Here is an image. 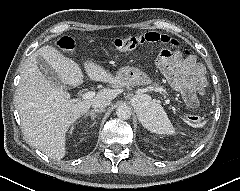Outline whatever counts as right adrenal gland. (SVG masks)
<instances>
[{
    "label": "right adrenal gland",
    "mask_w": 240,
    "mask_h": 191,
    "mask_svg": "<svg viewBox=\"0 0 240 191\" xmlns=\"http://www.w3.org/2000/svg\"><path fill=\"white\" fill-rule=\"evenodd\" d=\"M101 112H103V110H91V111H89V112H87V113L85 114V117L90 116L91 119H92L93 121H95V119H96V117H97V113H101ZM94 123H96V122H94Z\"/></svg>",
    "instance_id": "2a0ac1e0"
}]
</instances>
